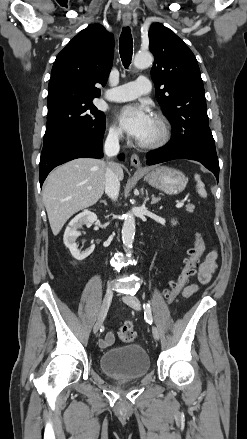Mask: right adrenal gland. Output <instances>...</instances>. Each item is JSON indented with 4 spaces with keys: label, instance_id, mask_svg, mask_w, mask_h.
<instances>
[{
    "label": "right adrenal gland",
    "instance_id": "1",
    "mask_svg": "<svg viewBox=\"0 0 247 439\" xmlns=\"http://www.w3.org/2000/svg\"><path fill=\"white\" fill-rule=\"evenodd\" d=\"M100 203H103L104 205H107V202L105 200H101Z\"/></svg>",
    "mask_w": 247,
    "mask_h": 439
}]
</instances>
